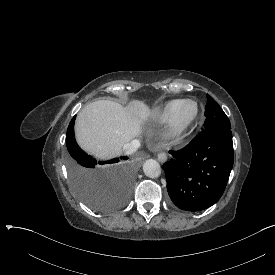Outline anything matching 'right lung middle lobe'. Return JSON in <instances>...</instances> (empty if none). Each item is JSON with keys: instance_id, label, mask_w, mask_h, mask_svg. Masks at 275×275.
Here are the masks:
<instances>
[{"instance_id": "1", "label": "right lung middle lobe", "mask_w": 275, "mask_h": 275, "mask_svg": "<svg viewBox=\"0 0 275 275\" xmlns=\"http://www.w3.org/2000/svg\"><path fill=\"white\" fill-rule=\"evenodd\" d=\"M75 117L71 120L66 134L67 167L71 187L93 210L111 212L129 199L137 175V166L130 163L127 156L97 161L87 155L75 140Z\"/></svg>"}]
</instances>
